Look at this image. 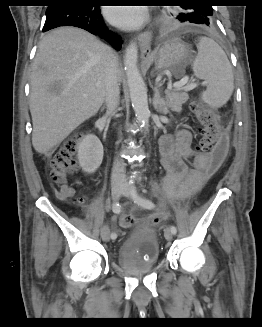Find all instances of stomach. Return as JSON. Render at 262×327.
Instances as JSON below:
<instances>
[{
  "label": "stomach",
  "mask_w": 262,
  "mask_h": 327,
  "mask_svg": "<svg viewBox=\"0 0 262 327\" xmlns=\"http://www.w3.org/2000/svg\"><path fill=\"white\" fill-rule=\"evenodd\" d=\"M189 50L181 41L166 42L153 55L147 59L153 61L155 69L158 73H166L167 71L180 76L183 73V67L189 58Z\"/></svg>",
  "instance_id": "1"
}]
</instances>
